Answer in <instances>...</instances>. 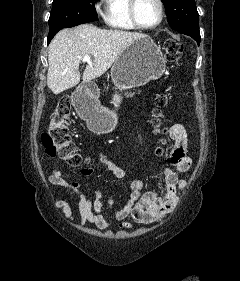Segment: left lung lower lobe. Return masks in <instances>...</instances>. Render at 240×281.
Instances as JSON below:
<instances>
[{
    "instance_id": "obj_1",
    "label": "left lung lower lobe",
    "mask_w": 240,
    "mask_h": 281,
    "mask_svg": "<svg viewBox=\"0 0 240 281\" xmlns=\"http://www.w3.org/2000/svg\"><path fill=\"white\" fill-rule=\"evenodd\" d=\"M178 32L191 36L195 41H197V43L199 45L200 40H201L199 31L198 32L178 31Z\"/></svg>"
}]
</instances>
